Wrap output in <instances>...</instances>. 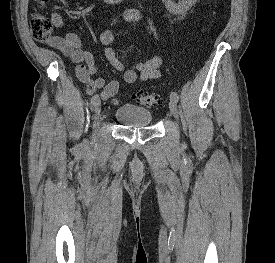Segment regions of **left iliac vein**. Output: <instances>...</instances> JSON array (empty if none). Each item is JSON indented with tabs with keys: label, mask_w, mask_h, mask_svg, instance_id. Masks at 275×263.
Here are the masks:
<instances>
[{
	"label": "left iliac vein",
	"mask_w": 275,
	"mask_h": 263,
	"mask_svg": "<svg viewBox=\"0 0 275 263\" xmlns=\"http://www.w3.org/2000/svg\"><path fill=\"white\" fill-rule=\"evenodd\" d=\"M169 109L171 114L177 118L178 117V108H177V104L176 102H174L173 100H170L169 102Z\"/></svg>",
	"instance_id": "left-iliac-vein-1"
}]
</instances>
